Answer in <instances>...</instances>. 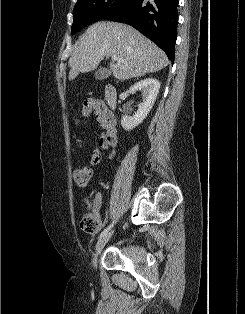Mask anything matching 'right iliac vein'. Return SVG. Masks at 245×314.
Masks as SVG:
<instances>
[{
    "label": "right iliac vein",
    "mask_w": 245,
    "mask_h": 314,
    "mask_svg": "<svg viewBox=\"0 0 245 314\" xmlns=\"http://www.w3.org/2000/svg\"><path fill=\"white\" fill-rule=\"evenodd\" d=\"M114 230L109 231L105 236L101 237L96 246H95V253H94V257H93V267L96 268L97 264H98V256L101 252V250L103 249V247L105 246V244L109 241V239L111 238L112 234H113Z\"/></svg>",
    "instance_id": "1"
}]
</instances>
